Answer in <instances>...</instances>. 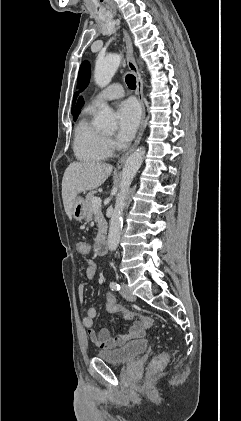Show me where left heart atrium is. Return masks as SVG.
Here are the masks:
<instances>
[{
    "mask_svg": "<svg viewBox=\"0 0 241 421\" xmlns=\"http://www.w3.org/2000/svg\"><path fill=\"white\" fill-rule=\"evenodd\" d=\"M118 132L120 142H129L135 135L140 122V109L133 100L121 102L117 109Z\"/></svg>",
    "mask_w": 241,
    "mask_h": 421,
    "instance_id": "left-heart-atrium-1",
    "label": "left heart atrium"
}]
</instances>
